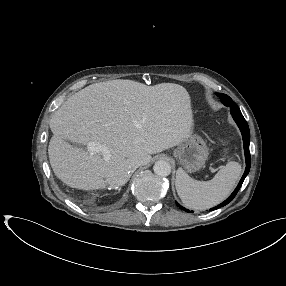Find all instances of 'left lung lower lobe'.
I'll list each match as a JSON object with an SVG mask.
<instances>
[{
  "label": "left lung lower lobe",
  "mask_w": 286,
  "mask_h": 286,
  "mask_svg": "<svg viewBox=\"0 0 286 286\" xmlns=\"http://www.w3.org/2000/svg\"><path fill=\"white\" fill-rule=\"evenodd\" d=\"M231 114H232L233 119L237 123L238 127L240 128V131H241L242 136H243L244 152H245V158H246V169H245V172H244L241 180L239 181L236 189L232 192V194L224 202H222L221 204L217 205L216 207L210 209V211L219 209L220 207L227 205L229 202H231L234 199V197L236 196L240 187L242 186V183H243L245 177L248 175L249 170H250V166H251V158H250V151H249L250 131H249L248 124H247L246 120L244 119L240 110H231ZM176 204L182 210H185L186 212H190L188 209L182 207L178 203H176ZM191 212L193 213V211H191Z\"/></svg>",
  "instance_id": "0a47b994"
}]
</instances>
